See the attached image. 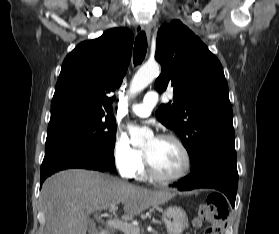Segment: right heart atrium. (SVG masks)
Wrapping results in <instances>:
<instances>
[{"instance_id":"1","label":"right heart atrium","mask_w":279,"mask_h":234,"mask_svg":"<svg viewBox=\"0 0 279 234\" xmlns=\"http://www.w3.org/2000/svg\"><path fill=\"white\" fill-rule=\"evenodd\" d=\"M143 153L135 148L128 136L121 131L115 133L112 144V158L118 172L124 178H131L137 171Z\"/></svg>"}]
</instances>
